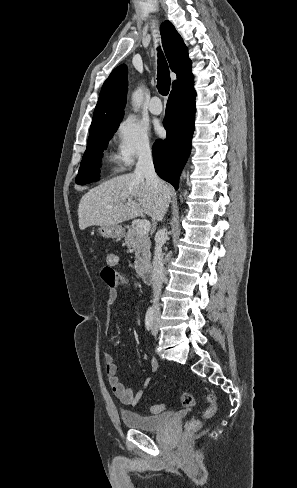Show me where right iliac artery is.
Returning <instances> with one entry per match:
<instances>
[{"mask_svg": "<svg viewBox=\"0 0 297 488\" xmlns=\"http://www.w3.org/2000/svg\"><path fill=\"white\" fill-rule=\"evenodd\" d=\"M153 320H154V310L153 308H149L146 313L145 317V326L147 330H150L153 326Z\"/></svg>", "mask_w": 297, "mask_h": 488, "instance_id": "right-iliac-artery-1", "label": "right iliac artery"}]
</instances>
